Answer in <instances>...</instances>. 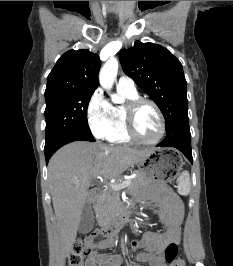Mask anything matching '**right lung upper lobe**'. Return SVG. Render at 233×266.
Here are the masks:
<instances>
[{
  "instance_id": "obj_1",
  "label": "right lung upper lobe",
  "mask_w": 233,
  "mask_h": 266,
  "mask_svg": "<svg viewBox=\"0 0 233 266\" xmlns=\"http://www.w3.org/2000/svg\"><path fill=\"white\" fill-rule=\"evenodd\" d=\"M100 59L89 50H69L48 75L45 98L74 92H94L98 87Z\"/></svg>"
}]
</instances>
